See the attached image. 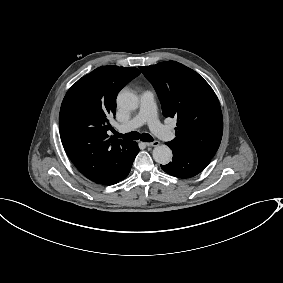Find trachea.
<instances>
[{
    "instance_id": "obj_1",
    "label": "trachea",
    "mask_w": 283,
    "mask_h": 283,
    "mask_svg": "<svg viewBox=\"0 0 283 283\" xmlns=\"http://www.w3.org/2000/svg\"><path fill=\"white\" fill-rule=\"evenodd\" d=\"M115 137L117 138H124V139H130V140H138L140 139L141 141L144 142H152L153 138L148 134V133H139L136 131L127 133V134H120L118 132H114Z\"/></svg>"
}]
</instances>
